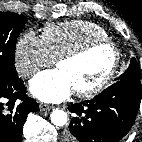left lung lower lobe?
Instances as JSON below:
<instances>
[{"label":"left lung lower lobe","mask_w":142,"mask_h":142,"mask_svg":"<svg viewBox=\"0 0 142 142\" xmlns=\"http://www.w3.org/2000/svg\"><path fill=\"white\" fill-rule=\"evenodd\" d=\"M138 78L116 81L91 100L68 107L75 113L65 142H117L131 129L141 101Z\"/></svg>","instance_id":"left-lung-lower-lobe-1"}]
</instances>
